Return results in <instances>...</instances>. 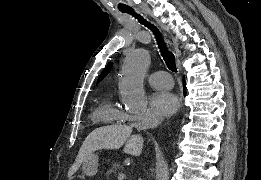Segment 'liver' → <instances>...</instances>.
Masks as SVG:
<instances>
[{"label": "liver", "instance_id": "6515ba94", "mask_svg": "<svg viewBox=\"0 0 261 180\" xmlns=\"http://www.w3.org/2000/svg\"><path fill=\"white\" fill-rule=\"evenodd\" d=\"M132 128L112 124V126H102L90 132L85 138L78 156L69 170V178L79 170L81 164L88 160L96 150H119L125 144L124 154L130 156H140L143 148V138L141 136H131Z\"/></svg>", "mask_w": 261, "mask_h": 180}]
</instances>
